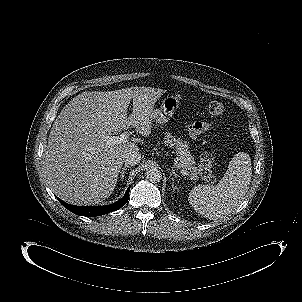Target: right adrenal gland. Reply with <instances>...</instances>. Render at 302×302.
I'll list each match as a JSON object with an SVG mask.
<instances>
[{
  "label": "right adrenal gland",
  "mask_w": 302,
  "mask_h": 302,
  "mask_svg": "<svg viewBox=\"0 0 302 302\" xmlns=\"http://www.w3.org/2000/svg\"><path fill=\"white\" fill-rule=\"evenodd\" d=\"M127 168H129L128 165H125L122 170L120 171V178L123 181L124 177H125V171L127 170Z\"/></svg>",
  "instance_id": "2a0ac1e0"
}]
</instances>
